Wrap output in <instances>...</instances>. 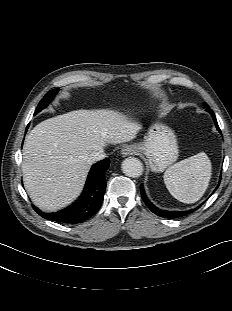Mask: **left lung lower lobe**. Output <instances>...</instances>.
Returning a JSON list of instances; mask_svg holds the SVG:
<instances>
[{
	"label": "left lung lower lobe",
	"mask_w": 232,
	"mask_h": 311,
	"mask_svg": "<svg viewBox=\"0 0 232 311\" xmlns=\"http://www.w3.org/2000/svg\"><path fill=\"white\" fill-rule=\"evenodd\" d=\"M206 111H208L213 120H214V123H215V126L217 128V130L221 133V130L219 129V126H218V123H217V120H216V117H215V114L214 112L211 110V109H206ZM221 180V179H220ZM217 189V187H216ZM215 189V190H216ZM214 190V191H215ZM140 192H141V196H142V199L143 201L145 202V204L148 206V208L153 212L155 213L156 215L160 216V217H164V218H179V217H182L184 215H187L188 213H191L193 212V210H188V211H164V210H160L158 209L156 206H154L147 198L146 194H145V191H144V187L143 185L140 186Z\"/></svg>",
	"instance_id": "1"
}]
</instances>
